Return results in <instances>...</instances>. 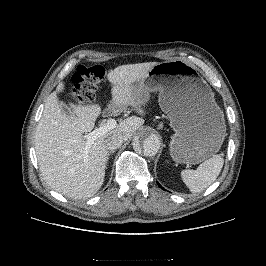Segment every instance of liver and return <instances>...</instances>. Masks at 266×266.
<instances>
[{"instance_id": "6515ba94", "label": "liver", "mask_w": 266, "mask_h": 266, "mask_svg": "<svg viewBox=\"0 0 266 266\" xmlns=\"http://www.w3.org/2000/svg\"><path fill=\"white\" fill-rule=\"evenodd\" d=\"M157 62L121 65L108 73L111 83L113 108L133 107L141 116L144 104L132 95L137 83L147 76ZM65 90L59 83L56 91L46 99L42 116L35 132V151L39 169L46 183L68 198L84 199L101 188L107 162L105 140L122 135L125 140L132 137L144 124L143 117H130L121 121L114 129L97 138L88 150L84 132H90L101 114L98 104L75 105L70 103L74 116L62 112L57 94Z\"/></svg>"}]
</instances>
